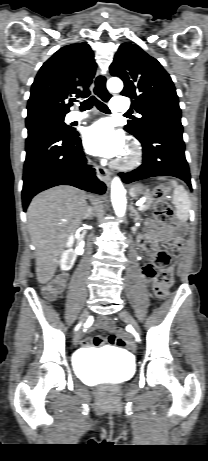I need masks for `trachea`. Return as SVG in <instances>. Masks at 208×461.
<instances>
[{"label":"trachea","mask_w":208,"mask_h":461,"mask_svg":"<svg viewBox=\"0 0 208 461\" xmlns=\"http://www.w3.org/2000/svg\"><path fill=\"white\" fill-rule=\"evenodd\" d=\"M95 94L100 97L102 100H104L105 102H107L110 98V95L108 94V92L106 91V88H105V77L104 76H98L96 78V81H95ZM93 105H96V107L104 112V113H110V110L108 109V107L102 103L101 101H99L96 97L94 96H91L90 98L86 99L85 101L81 102L80 103V110L81 111H85V110H89L92 108ZM131 114L130 113H126L125 116H130Z\"/></svg>","instance_id":"3493384b"}]
</instances>
